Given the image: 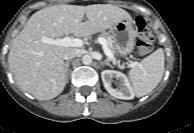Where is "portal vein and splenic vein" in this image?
<instances>
[{"label": "portal vein and splenic vein", "mask_w": 194, "mask_h": 133, "mask_svg": "<svg viewBox=\"0 0 194 133\" xmlns=\"http://www.w3.org/2000/svg\"><path fill=\"white\" fill-rule=\"evenodd\" d=\"M41 42L64 47H81L83 45V41L81 39L71 38L69 36H66L62 39H51L48 37H42ZM98 43L102 45V49L105 55L115 62V58L110 49L108 48V43L106 39L103 37H99ZM136 65V62H132L129 64V67H135Z\"/></svg>", "instance_id": "obj_1"}]
</instances>
